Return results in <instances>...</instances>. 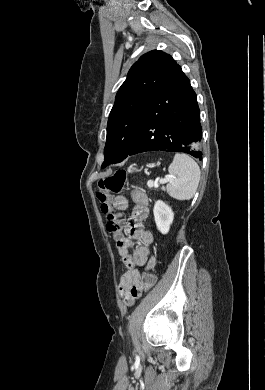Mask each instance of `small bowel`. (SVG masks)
<instances>
[{
    "label": "small bowel",
    "mask_w": 265,
    "mask_h": 390,
    "mask_svg": "<svg viewBox=\"0 0 265 390\" xmlns=\"http://www.w3.org/2000/svg\"><path fill=\"white\" fill-rule=\"evenodd\" d=\"M132 200L134 202L132 217L126 224L122 237L116 240L118 252L127 265V270L120 278L119 290L128 305L141 297L143 293L139 268H151L155 263L149 250L153 243V235L143 227V221L148 213V196L136 190L132 193ZM128 204V199L123 195H117L113 199V206L119 211L126 210ZM136 243H139V246L130 254V250L135 247Z\"/></svg>",
    "instance_id": "small-bowel-1"
}]
</instances>
